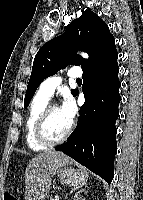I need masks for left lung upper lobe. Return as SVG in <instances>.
<instances>
[{
    "label": "left lung upper lobe",
    "mask_w": 143,
    "mask_h": 200,
    "mask_svg": "<svg viewBox=\"0 0 143 200\" xmlns=\"http://www.w3.org/2000/svg\"><path fill=\"white\" fill-rule=\"evenodd\" d=\"M114 39L107 24L90 10L73 20L64 34L45 43L35 56L32 73L27 86L24 107H27L37 87L47 77L54 75L67 64L87 67ZM83 50L90 56L85 60L75 54V50ZM75 92L76 90H71Z\"/></svg>",
    "instance_id": "left-lung-upper-lobe-1"
}]
</instances>
